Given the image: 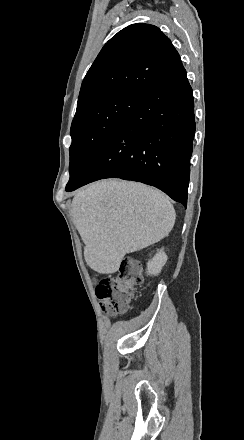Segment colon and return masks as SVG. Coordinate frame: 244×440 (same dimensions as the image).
<instances>
[{
  "instance_id": "colon-1",
  "label": "colon",
  "mask_w": 244,
  "mask_h": 440,
  "mask_svg": "<svg viewBox=\"0 0 244 440\" xmlns=\"http://www.w3.org/2000/svg\"><path fill=\"white\" fill-rule=\"evenodd\" d=\"M96 280L94 277L91 279ZM142 283L138 263L126 260L121 263L112 276L102 278L95 290L96 299L107 315L125 312L132 301L135 290Z\"/></svg>"
}]
</instances>
